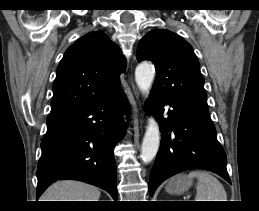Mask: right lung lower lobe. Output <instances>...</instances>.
<instances>
[{"instance_id":"98d812e1","label":"right lung lower lobe","mask_w":259,"mask_h":211,"mask_svg":"<svg viewBox=\"0 0 259 211\" xmlns=\"http://www.w3.org/2000/svg\"><path fill=\"white\" fill-rule=\"evenodd\" d=\"M128 110L121 90L84 107L50 113L36 173L37 198L51 183L75 179L108 191L116 201L113 149L123 135L122 115Z\"/></svg>"}]
</instances>
